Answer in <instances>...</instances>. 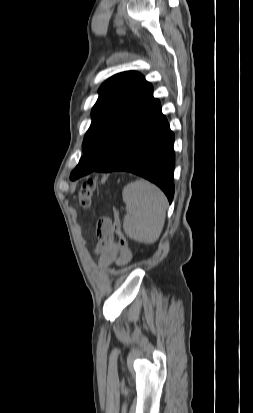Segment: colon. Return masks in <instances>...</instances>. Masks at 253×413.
Instances as JSON below:
<instances>
[{"label": "colon", "instance_id": "1", "mask_svg": "<svg viewBox=\"0 0 253 413\" xmlns=\"http://www.w3.org/2000/svg\"><path fill=\"white\" fill-rule=\"evenodd\" d=\"M95 182L94 180H87L83 183L80 192H79V203L83 208H88L91 204L92 195L95 190ZM113 231L118 235L119 241L118 244L122 248H127L128 242L124 237L121 229V221L119 214L115 212L113 218Z\"/></svg>", "mask_w": 253, "mask_h": 413}]
</instances>
